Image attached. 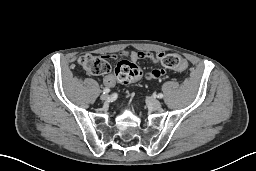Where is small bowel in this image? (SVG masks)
Here are the masks:
<instances>
[{
    "label": "small bowel",
    "mask_w": 256,
    "mask_h": 171,
    "mask_svg": "<svg viewBox=\"0 0 256 171\" xmlns=\"http://www.w3.org/2000/svg\"><path fill=\"white\" fill-rule=\"evenodd\" d=\"M122 56L130 58L132 61H138V60H143V59H149L153 62H161V59L165 56V53L159 52L157 54H152L150 52L146 51H131V52H122ZM108 57H115L113 56H108ZM185 61V60H184ZM188 64L185 61L184 67L179 69V71H183L187 68ZM165 75V70L163 69H154L151 72L146 73L145 77L150 80H157L160 79ZM103 83L107 87H113L116 84V78L113 74H108L104 77Z\"/></svg>",
    "instance_id": "obj_1"
}]
</instances>
